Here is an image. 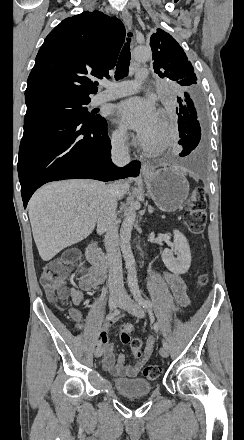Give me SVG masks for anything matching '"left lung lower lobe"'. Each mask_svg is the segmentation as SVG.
Here are the masks:
<instances>
[{
  "mask_svg": "<svg viewBox=\"0 0 244 440\" xmlns=\"http://www.w3.org/2000/svg\"><path fill=\"white\" fill-rule=\"evenodd\" d=\"M177 102L179 108H176V111L181 138L178 144L184 148L179 155L186 156L197 147L201 139L199 123L201 108L197 93L193 89L184 92L181 97H177Z\"/></svg>",
  "mask_w": 244,
  "mask_h": 440,
  "instance_id": "1",
  "label": "left lung lower lobe"
}]
</instances>
